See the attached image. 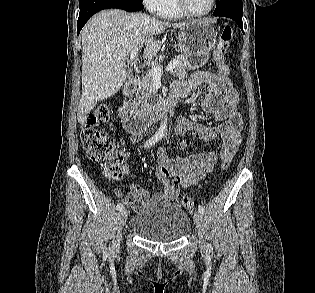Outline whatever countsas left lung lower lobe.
Masks as SVG:
<instances>
[{"label":"left lung lower lobe","mask_w":315,"mask_h":293,"mask_svg":"<svg viewBox=\"0 0 315 293\" xmlns=\"http://www.w3.org/2000/svg\"><path fill=\"white\" fill-rule=\"evenodd\" d=\"M219 16H224V17H228L233 19L238 25L239 27L243 30V24H242V14H238V13H225V14H221Z\"/></svg>","instance_id":"obj_1"}]
</instances>
